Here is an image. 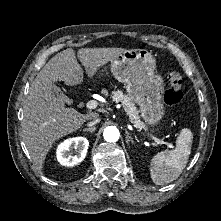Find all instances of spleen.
<instances>
[{
    "label": "spleen",
    "mask_w": 221,
    "mask_h": 221,
    "mask_svg": "<svg viewBox=\"0 0 221 221\" xmlns=\"http://www.w3.org/2000/svg\"><path fill=\"white\" fill-rule=\"evenodd\" d=\"M193 134L183 128L172 151L156 154L151 160L150 175L157 185H165L176 180L184 170L191 152Z\"/></svg>",
    "instance_id": "3e777b00"
}]
</instances>
